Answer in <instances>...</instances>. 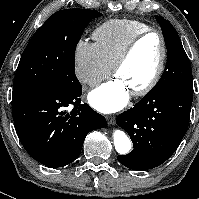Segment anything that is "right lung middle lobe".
I'll return each instance as SVG.
<instances>
[{
	"label": "right lung middle lobe",
	"mask_w": 199,
	"mask_h": 199,
	"mask_svg": "<svg viewBox=\"0 0 199 199\" xmlns=\"http://www.w3.org/2000/svg\"><path fill=\"white\" fill-rule=\"evenodd\" d=\"M94 10L65 9L51 15L29 40L16 70L12 107L44 91L81 88L75 75V49Z\"/></svg>",
	"instance_id": "obj_1"
}]
</instances>
